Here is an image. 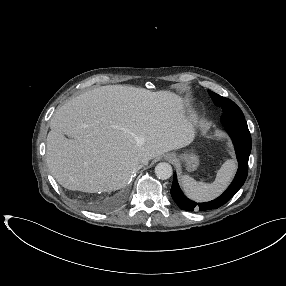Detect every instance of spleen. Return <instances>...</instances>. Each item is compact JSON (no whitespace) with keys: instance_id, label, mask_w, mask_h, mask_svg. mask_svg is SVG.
<instances>
[{"instance_id":"obj_1","label":"spleen","mask_w":286,"mask_h":286,"mask_svg":"<svg viewBox=\"0 0 286 286\" xmlns=\"http://www.w3.org/2000/svg\"><path fill=\"white\" fill-rule=\"evenodd\" d=\"M236 162L233 159H228L218 170L216 179L213 183L197 182L188 175H183L181 183L184 192L192 200L205 202L219 196L231 182L236 172Z\"/></svg>"}]
</instances>
